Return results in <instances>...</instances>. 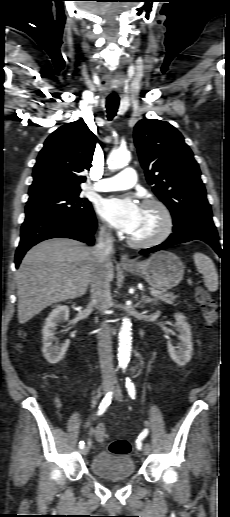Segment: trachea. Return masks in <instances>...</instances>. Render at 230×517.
<instances>
[{"instance_id": "trachea-1", "label": "trachea", "mask_w": 230, "mask_h": 517, "mask_svg": "<svg viewBox=\"0 0 230 517\" xmlns=\"http://www.w3.org/2000/svg\"><path fill=\"white\" fill-rule=\"evenodd\" d=\"M119 107V97L110 95L106 98V112L108 120H112Z\"/></svg>"}]
</instances>
